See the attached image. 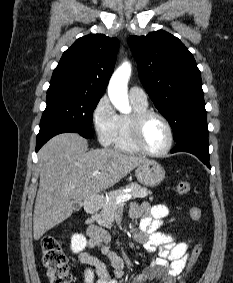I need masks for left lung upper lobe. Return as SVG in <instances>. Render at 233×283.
Segmentation results:
<instances>
[{"label":"left lung upper lobe","mask_w":233,"mask_h":283,"mask_svg":"<svg viewBox=\"0 0 233 283\" xmlns=\"http://www.w3.org/2000/svg\"><path fill=\"white\" fill-rule=\"evenodd\" d=\"M139 77L156 108L169 121L176 143L208 134L201 73L175 36L164 30L128 38Z\"/></svg>","instance_id":"1"}]
</instances>
